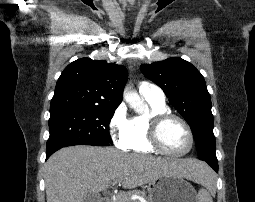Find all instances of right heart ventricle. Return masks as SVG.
<instances>
[{"label":"right heart ventricle","mask_w":255,"mask_h":202,"mask_svg":"<svg viewBox=\"0 0 255 202\" xmlns=\"http://www.w3.org/2000/svg\"><path fill=\"white\" fill-rule=\"evenodd\" d=\"M145 100L149 105V111L131 118L128 122L126 149L134 152L152 154L157 151L151 146L148 140L149 120L152 116L169 112V110L165 102H156L146 98Z\"/></svg>","instance_id":"obj_1"}]
</instances>
